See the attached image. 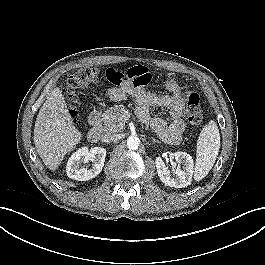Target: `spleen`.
<instances>
[{
	"label": "spleen",
	"mask_w": 265,
	"mask_h": 265,
	"mask_svg": "<svg viewBox=\"0 0 265 265\" xmlns=\"http://www.w3.org/2000/svg\"><path fill=\"white\" fill-rule=\"evenodd\" d=\"M220 149L219 129L214 121H210L202 130L196 153L194 180H202L212 169Z\"/></svg>",
	"instance_id": "spleen-1"
}]
</instances>
